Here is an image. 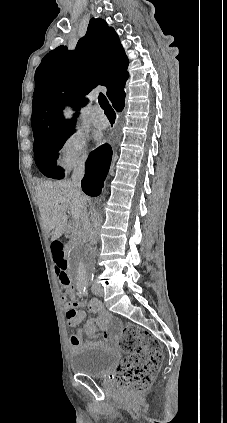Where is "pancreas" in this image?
I'll list each match as a JSON object with an SVG mask.
<instances>
[{
  "label": "pancreas",
  "mask_w": 227,
  "mask_h": 423,
  "mask_svg": "<svg viewBox=\"0 0 227 423\" xmlns=\"http://www.w3.org/2000/svg\"><path fill=\"white\" fill-rule=\"evenodd\" d=\"M72 225V233H76V235H84V225L81 223V221H76V223H72Z\"/></svg>",
  "instance_id": "1"
}]
</instances>
